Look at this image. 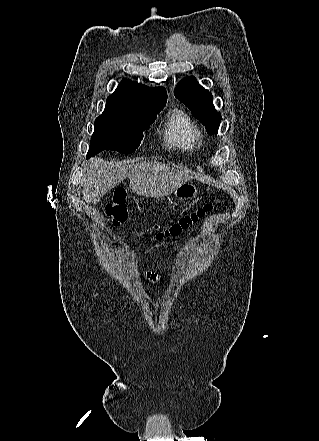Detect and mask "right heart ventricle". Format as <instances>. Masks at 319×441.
Wrapping results in <instances>:
<instances>
[{
    "label": "right heart ventricle",
    "mask_w": 319,
    "mask_h": 441,
    "mask_svg": "<svg viewBox=\"0 0 319 441\" xmlns=\"http://www.w3.org/2000/svg\"><path fill=\"white\" fill-rule=\"evenodd\" d=\"M163 136L171 147L191 150L199 141L200 132L187 114L174 111L167 120Z\"/></svg>",
    "instance_id": "obj_1"
}]
</instances>
